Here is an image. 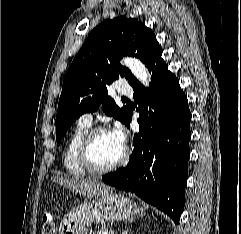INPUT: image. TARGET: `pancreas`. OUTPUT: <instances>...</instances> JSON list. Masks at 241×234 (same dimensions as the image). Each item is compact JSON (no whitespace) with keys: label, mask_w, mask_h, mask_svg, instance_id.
I'll return each instance as SVG.
<instances>
[{"label":"pancreas","mask_w":241,"mask_h":234,"mask_svg":"<svg viewBox=\"0 0 241 234\" xmlns=\"http://www.w3.org/2000/svg\"><path fill=\"white\" fill-rule=\"evenodd\" d=\"M107 230H108L107 228H102L97 234H104V232L107 231ZM89 234H96V233L95 232H89Z\"/></svg>","instance_id":"cf45deb5"}]
</instances>
